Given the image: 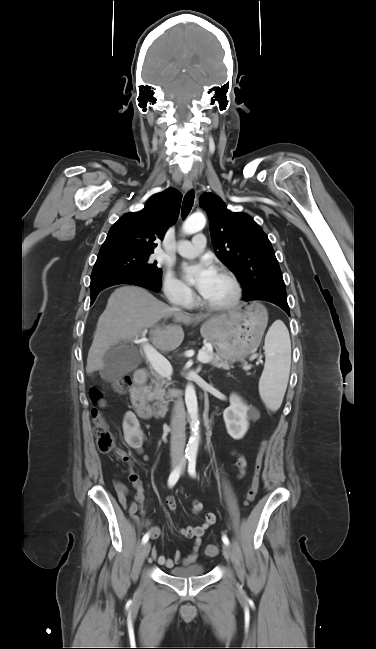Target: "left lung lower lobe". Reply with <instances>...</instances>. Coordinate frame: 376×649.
Wrapping results in <instances>:
<instances>
[{
	"label": "left lung lower lobe",
	"instance_id": "0a47b994",
	"mask_svg": "<svg viewBox=\"0 0 376 649\" xmlns=\"http://www.w3.org/2000/svg\"><path fill=\"white\" fill-rule=\"evenodd\" d=\"M254 300H264V301L272 302V303L276 304L277 306H279L280 308H282L290 316V310H289V306L287 304V300L278 299L276 297L269 296V295H261V296H258V298L254 299Z\"/></svg>",
	"mask_w": 376,
	"mask_h": 649
}]
</instances>
